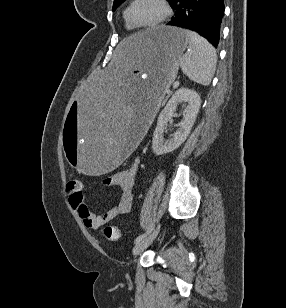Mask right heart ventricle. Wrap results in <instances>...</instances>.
<instances>
[{"mask_svg":"<svg viewBox=\"0 0 286 308\" xmlns=\"http://www.w3.org/2000/svg\"><path fill=\"white\" fill-rule=\"evenodd\" d=\"M123 18H124V24H125V27L126 29L128 30H133V28L127 23L126 19H125V12L123 14Z\"/></svg>","mask_w":286,"mask_h":308,"instance_id":"e07e8e85","label":"right heart ventricle"}]
</instances>
